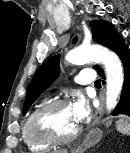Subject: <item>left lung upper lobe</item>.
<instances>
[{
	"mask_svg": "<svg viewBox=\"0 0 130 153\" xmlns=\"http://www.w3.org/2000/svg\"><path fill=\"white\" fill-rule=\"evenodd\" d=\"M93 40L101 45L112 37L117 30L113 25L103 20H94L90 22ZM76 42V39L73 40ZM96 70L100 67L94 66ZM59 74V55L53 56L46 60L37 70L30 83L27 96L23 105V113H25L40 94L48 88Z\"/></svg>",
	"mask_w": 130,
	"mask_h": 153,
	"instance_id": "obj_1",
	"label": "left lung upper lobe"
}]
</instances>
